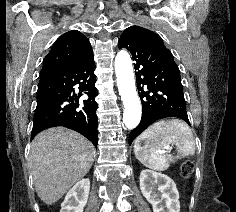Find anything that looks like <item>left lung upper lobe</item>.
<instances>
[{"label": "left lung upper lobe", "instance_id": "left-lung-upper-lobe-1", "mask_svg": "<svg viewBox=\"0 0 236 212\" xmlns=\"http://www.w3.org/2000/svg\"><path fill=\"white\" fill-rule=\"evenodd\" d=\"M129 28H142V27H139V26H131Z\"/></svg>", "mask_w": 236, "mask_h": 212}]
</instances>
